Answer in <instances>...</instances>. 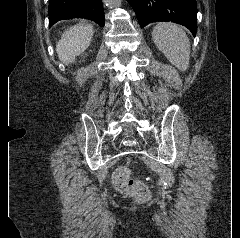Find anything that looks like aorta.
<instances>
[{"label": "aorta", "mask_w": 240, "mask_h": 238, "mask_svg": "<svg viewBox=\"0 0 240 238\" xmlns=\"http://www.w3.org/2000/svg\"><path fill=\"white\" fill-rule=\"evenodd\" d=\"M108 5L112 6V7H119L121 6V1L122 0H105Z\"/></svg>", "instance_id": "obj_1"}]
</instances>
